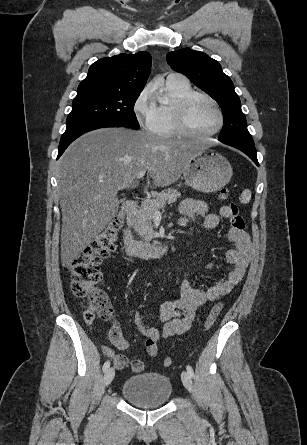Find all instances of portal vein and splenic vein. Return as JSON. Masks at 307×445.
Returning a JSON list of instances; mask_svg holds the SVG:
<instances>
[{
    "instance_id": "1",
    "label": "portal vein and splenic vein",
    "mask_w": 307,
    "mask_h": 445,
    "mask_svg": "<svg viewBox=\"0 0 307 445\" xmlns=\"http://www.w3.org/2000/svg\"><path fill=\"white\" fill-rule=\"evenodd\" d=\"M146 170H140V172H138L136 178H142V176H144ZM154 214H157V216H160L161 212L160 210H158V208H156Z\"/></svg>"
}]
</instances>
